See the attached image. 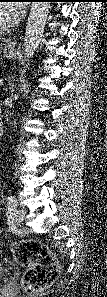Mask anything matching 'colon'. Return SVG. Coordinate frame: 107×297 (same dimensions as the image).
Instances as JSON below:
<instances>
[{
	"instance_id": "obj_1",
	"label": "colon",
	"mask_w": 107,
	"mask_h": 297,
	"mask_svg": "<svg viewBox=\"0 0 107 297\" xmlns=\"http://www.w3.org/2000/svg\"><path fill=\"white\" fill-rule=\"evenodd\" d=\"M15 260L27 268L24 289L37 294L49 286L58 275V265L52 253L35 241L19 242L14 247Z\"/></svg>"
}]
</instances>
